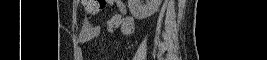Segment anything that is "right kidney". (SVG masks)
<instances>
[{
	"label": "right kidney",
	"mask_w": 267,
	"mask_h": 60,
	"mask_svg": "<svg viewBox=\"0 0 267 60\" xmlns=\"http://www.w3.org/2000/svg\"><path fill=\"white\" fill-rule=\"evenodd\" d=\"M160 4L161 0H146L145 5L141 4V0H128L130 13L138 20L153 15L158 10Z\"/></svg>",
	"instance_id": "obj_1"
}]
</instances>
